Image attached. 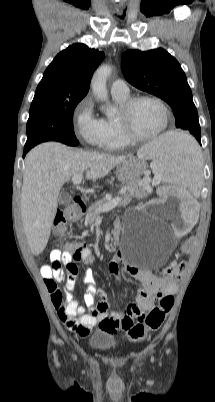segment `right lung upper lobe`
I'll use <instances>...</instances> for the list:
<instances>
[{"label": "right lung upper lobe", "mask_w": 215, "mask_h": 402, "mask_svg": "<svg viewBox=\"0 0 215 402\" xmlns=\"http://www.w3.org/2000/svg\"><path fill=\"white\" fill-rule=\"evenodd\" d=\"M104 53L76 43L60 52L43 74L36 95L84 98Z\"/></svg>", "instance_id": "1"}]
</instances>
